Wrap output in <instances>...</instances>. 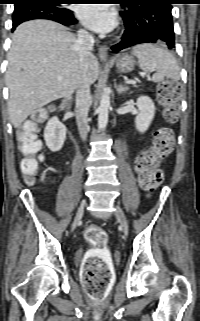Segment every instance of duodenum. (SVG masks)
I'll return each instance as SVG.
<instances>
[{
  "label": "duodenum",
  "mask_w": 200,
  "mask_h": 321,
  "mask_svg": "<svg viewBox=\"0 0 200 321\" xmlns=\"http://www.w3.org/2000/svg\"><path fill=\"white\" fill-rule=\"evenodd\" d=\"M69 106H70V100L69 99H65L61 104V109L63 111H67Z\"/></svg>",
  "instance_id": "duodenum-1"
}]
</instances>
